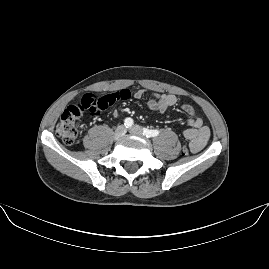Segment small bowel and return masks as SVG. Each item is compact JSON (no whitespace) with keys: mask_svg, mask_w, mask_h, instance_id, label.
<instances>
[{"mask_svg":"<svg viewBox=\"0 0 269 269\" xmlns=\"http://www.w3.org/2000/svg\"><path fill=\"white\" fill-rule=\"evenodd\" d=\"M144 94V90L133 93V97L138 99ZM177 103V97L173 94H153L148 102L150 109L158 112H165ZM183 111L188 114L186 121L187 128L182 130V135L190 140V149L193 153L200 152L207 144L210 137V129L203 123V119L194 113L192 106L183 105ZM114 118L118 116L117 111L111 114Z\"/></svg>","mask_w":269,"mask_h":269,"instance_id":"c3829d8e","label":"small bowel"}]
</instances>
